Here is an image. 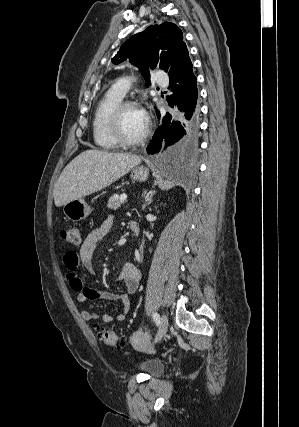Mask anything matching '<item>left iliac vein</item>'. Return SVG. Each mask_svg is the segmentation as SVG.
Wrapping results in <instances>:
<instances>
[{
  "label": "left iliac vein",
  "instance_id": "obj_1",
  "mask_svg": "<svg viewBox=\"0 0 299 427\" xmlns=\"http://www.w3.org/2000/svg\"><path fill=\"white\" fill-rule=\"evenodd\" d=\"M168 325H169V323H168V317H167L166 314H163L162 318H161V323H160L159 331H158V333L156 335L154 343L159 342L165 336V334L167 332V329H168Z\"/></svg>",
  "mask_w": 299,
  "mask_h": 427
}]
</instances>
